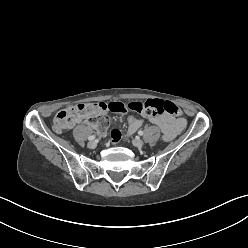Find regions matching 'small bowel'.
Returning <instances> with one entry per match:
<instances>
[{
	"instance_id": "small-bowel-1",
	"label": "small bowel",
	"mask_w": 248,
	"mask_h": 248,
	"mask_svg": "<svg viewBox=\"0 0 248 248\" xmlns=\"http://www.w3.org/2000/svg\"><path fill=\"white\" fill-rule=\"evenodd\" d=\"M140 127L142 126L144 120L140 118L134 119ZM147 120L157 126L162 134L163 139L165 141H170L174 139L178 134L181 133L183 128L185 127L186 121L184 118H174L170 115H162V116H154V117H147ZM137 130L133 129L131 125H128V130L125 137H130L134 134ZM122 135L120 134L118 127H113L110 130V141L113 144H118L122 140Z\"/></svg>"
}]
</instances>
